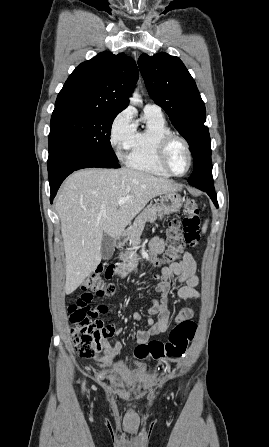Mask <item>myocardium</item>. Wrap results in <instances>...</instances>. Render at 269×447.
<instances>
[{
  "instance_id": "obj_1",
  "label": "myocardium",
  "mask_w": 269,
  "mask_h": 447,
  "mask_svg": "<svg viewBox=\"0 0 269 447\" xmlns=\"http://www.w3.org/2000/svg\"><path fill=\"white\" fill-rule=\"evenodd\" d=\"M174 142H180L183 144V146L186 149L187 155H188V166L185 171L183 172H177L175 171L170 162H169V151ZM158 159L160 163L168 170V172L175 176H183L185 175L191 168L192 165V152L190 145L188 141L181 137L180 135H177L175 133L168 134L161 138L159 145H158Z\"/></svg>"
}]
</instances>
